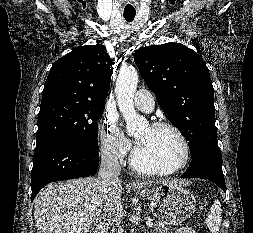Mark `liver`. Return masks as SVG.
Here are the masks:
<instances>
[{
  "label": "liver",
  "mask_w": 253,
  "mask_h": 233,
  "mask_svg": "<svg viewBox=\"0 0 253 233\" xmlns=\"http://www.w3.org/2000/svg\"><path fill=\"white\" fill-rule=\"evenodd\" d=\"M170 184L183 185V182ZM118 191L121 195V181ZM104 204L98 178L50 184L34 200L37 233H89L100 218Z\"/></svg>",
  "instance_id": "liver-1"
}]
</instances>
